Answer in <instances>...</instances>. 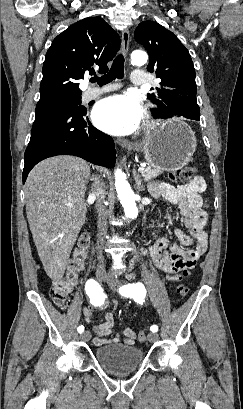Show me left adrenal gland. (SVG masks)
Instances as JSON below:
<instances>
[{
  "instance_id": "1",
  "label": "left adrenal gland",
  "mask_w": 243,
  "mask_h": 409,
  "mask_svg": "<svg viewBox=\"0 0 243 409\" xmlns=\"http://www.w3.org/2000/svg\"><path fill=\"white\" fill-rule=\"evenodd\" d=\"M133 176H134V180H135L136 189L138 191H144L145 187L143 186L142 180H141L139 174L137 173V171L135 169L133 170Z\"/></svg>"
}]
</instances>
